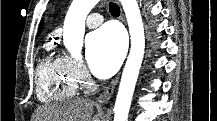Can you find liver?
I'll return each mask as SVG.
<instances>
[{
  "label": "liver",
  "instance_id": "obj_1",
  "mask_svg": "<svg viewBox=\"0 0 217 121\" xmlns=\"http://www.w3.org/2000/svg\"><path fill=\"white\" fill-rule=\"evenodd\" d=\"M94 102L77 98L64 101L51 107L39 109V121H99V115L93 116Z\"/></svg>",
  "mask_w": 217,
  "mask_h": 121
}]
</instances>
